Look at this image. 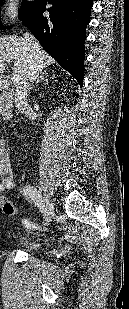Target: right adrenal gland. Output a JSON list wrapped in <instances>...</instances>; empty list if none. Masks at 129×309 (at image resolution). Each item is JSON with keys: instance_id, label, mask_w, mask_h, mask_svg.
Returning a JSON list of instances; mask_svg holds the SVG:
<instances>
[{"instance_id": "1", "label": "right adrenal gland", "mask_w": 129, "mask_h": 309, "mask_svg": "<svg viewBox=\"0 0 129 309\" xmlns=\"http://www.w3.org/2000/svg\"><path fill=\"white\" fill-rule=\"evenodd\" d=\"M44 75L45 73L42 72L41 75L37 78L35 84L32 85L31 89H35L39 85V83L45 84V81H47V79L44 78Z\"/></svg>"}]
</instances>
